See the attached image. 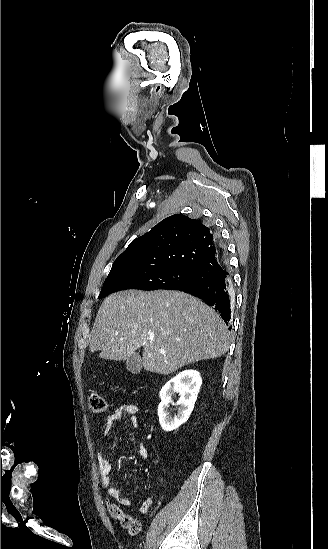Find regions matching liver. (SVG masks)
Returning <instances> with one entry per match:
<instances>
[{
	"label": "liver",
	"instance_id": "1",
	"mask_svg": "<svg viewBox=\"0 0 328 549\" xmlns=\"http://www.w3.org/2000/svg\"><path fill=\"white\" fill-rule=\"evenodd\" d=\"M229 345L223 319L201 299L181 291L130 289L103 301L89 349L101 351V359L126 361L144 347L145 371L170 375L184 365L221 357Z\"/></svg>",
	"mask_w": 328,
	"mask_h": 549
}]
</instances>
